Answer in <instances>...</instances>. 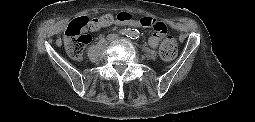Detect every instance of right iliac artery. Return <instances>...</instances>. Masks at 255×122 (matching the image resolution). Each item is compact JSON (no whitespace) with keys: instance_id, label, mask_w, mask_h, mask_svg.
I'll list each match as a JSON object with an SVG mask.
<instances>
[{"instance_id":"1","label":"right iliac artery","mask_w":255,"mask_h":122,"mask_svg":"<svg viewBox=\"0 0 255 122\" xmlns=\"http://www.w3.org/2000/svg\"><path fill=\"white\" fill-rule=\"evenodd\" d=\"M126 33H127V31H123V32H122V34H126Z\"/></svg>"}]
</instances>
